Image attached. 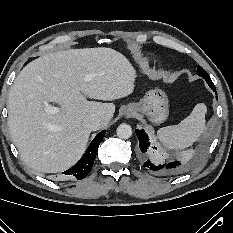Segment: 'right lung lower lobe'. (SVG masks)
I'll return each mask as SVG.
<instances>
[{
  "label": "right lung lower lobe",
  "mask_w": 233,
  "mask_h": 233,
  "mask_svg": "<svg viewBox=\"0 0 233 233\" xmlns=\"http://www.w3.org/2000/svg\"><path fill=\"white\" fill-rule=\"evenodd\" d=\"M105 134L106 130H103L95 136L82 158L73 167L63 172V174H65V178L81 180L88 175L94 164V160L98 152V147Z\"/></svg>",
  "instance_id": "1"
}]
</instances>
